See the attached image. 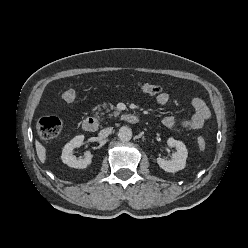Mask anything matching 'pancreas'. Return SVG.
I'll use <instances>...</instances> for the list:
<instances>
[{
  "label": "pancreas",
  "instance_id": "cf45deb5",
  "mask_svg": "<svg viewBox=\"0 0 248 248\" xmlns=\"http://www.w3.org/2000/svg\"><path fill=\"white\" fill-rule=\"evenodd\" d=\"M113 108H114V107L111 106V109H113ZM108 111H109V110H108ZM113 114H114V116H118V115L120 114V112H119V111H115ZM111 115H112V114H111ZM111 115H110V116H111Z\"/></svg>",
  "mask_w": 248,
  "mask_h": 248
}]
</instances>
